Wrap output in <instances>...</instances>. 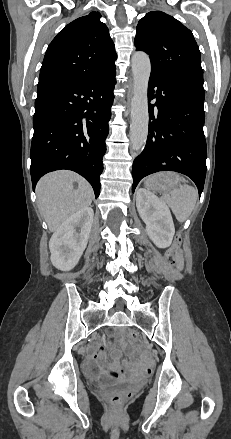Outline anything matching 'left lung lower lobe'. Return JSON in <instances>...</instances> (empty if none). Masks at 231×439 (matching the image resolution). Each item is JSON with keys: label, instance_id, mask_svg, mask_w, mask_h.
<instances>
[{"label": "left lung lower lobe", "instance_id": "0a47b994", "mask_svg": "<svg viewBox=\"0 0 231 439\" xmlns=\"http://www.w3.org/2000/svg\"><path fill=\"white\" fill-rule=\"evenodd\" d=\"M149 130L143 152L132 167L134 192L139 181L158 171L190 177L203 191L207 148L203 82L183 77L151 75L148 88ZM156 107V109H154Z\"/></svg>", "mask_w": 231, "mask_h": 439}]
</instances>
